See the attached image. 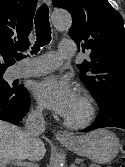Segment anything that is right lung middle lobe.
<instances>
[{
    "label": "right lung middle lobe",
    "mask_w": 125,
    "mask_h": 167,
    "mask_svg": "<svg viewBox=\"0 0 125 167\" xmlns=\"http://www.w3.org/2000/svg\"><path fill=\"white\" fill-rule=\"evenodd\" d=\"M4 72H0V87L5 88L7 90H13V87H10L8 83L2 78Z\"/></svg>",
    "instance_id": "1"
}]
</instances>
